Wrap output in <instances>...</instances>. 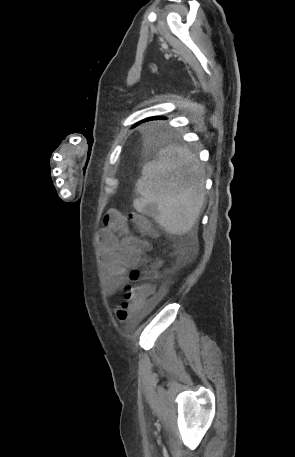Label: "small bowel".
I'll return each mask as SVG.
<instances>
[{"label": "small bowel", "instance_id": "c3829d8e", "mask_svg": "<svg viewBox=\"0 0 295 457\" xmlns=\"http://www.w3.org/2000/svg\"><path fill=\"white\" fill-rule=\"evenodd\" d=\"M104 225L99 232L100 256L107 293L113 295L126 286L127 272L141 265L150 244L131 232L127 216L116 209L106 212Z\"/></svg>", "mask_w": 295, "mask_h": 457}]
</instances>
